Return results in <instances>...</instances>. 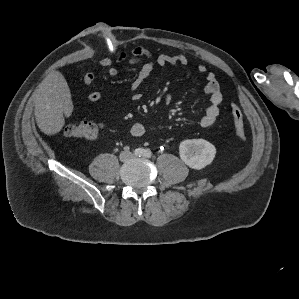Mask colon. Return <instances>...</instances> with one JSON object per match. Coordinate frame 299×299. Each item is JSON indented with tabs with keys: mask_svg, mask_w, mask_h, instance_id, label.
Segmentation results:
<instances>
[{
	"mask_svg": "<svg viewBox=\"0 0 299 299\" xmlns=\"http://www.w3.org/2000/svg\"><path fill=\"white\" fill-rule=\"evenodd\" d=\"M232 116L234 124V134L238 139L245 137L244 116L240 107L232 104ZM101 126L91 121H78L68 123L64 127V134L68 137L80 139H94L98 136Z\"/></svg>",
	"mask_w": 299,
	"mask_h": 299,
	"instance_id": "5ec220e1",
	"label": "colon"
}]
</instances>
